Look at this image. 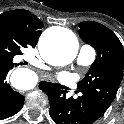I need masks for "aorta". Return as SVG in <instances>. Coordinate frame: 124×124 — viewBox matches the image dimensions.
Masks as SVG:
<instances>
[{"label":"aorta","mask_w":124,"mask_h":124,"mask_svg":"<svg viewBox=\"0 0 124 124\" xmlns=\"http://www.w3.org/2000/svg\"><path fill=\"white\" fill-rule=\"evenodd\" d=\"M39 51L44 60L50 65L64 66L71 63L78 52L76 36L67 29L46 30L39 40ZM27 69H16L12 74V82L15 86L26 89L30 86L26 83Z\"/></svg>","instance_id":"obj_1"}]
</instances>
